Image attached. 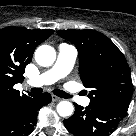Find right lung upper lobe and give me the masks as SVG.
<instances>
[{
	"instance_id": "obj_1",
	"label": "right lung upper lobe",
	"mask_w": 136,
	"mask_h": 136,
	"mask_svg": "<svg viewBox=\"0 0 136 136\" xmlns=\"http://www.w3.org/2000/svg\"><path fill=\"white\" fill-rule=\"evenodd\" d=\"M53 30L6 27L0 30V114L14 108L28 97L20 95L14 84L24 80L25 67L32 60L35 48Z\"/></svg>"
}]
</instances>
